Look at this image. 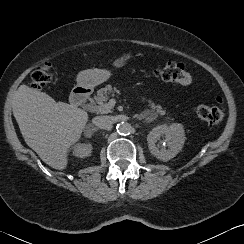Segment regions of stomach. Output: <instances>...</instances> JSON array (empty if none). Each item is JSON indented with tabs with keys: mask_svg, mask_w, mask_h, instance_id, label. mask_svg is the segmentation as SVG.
<instances>
[{
	"mask_svg": "<svg viewBox=\"0 0 244 244\" xmlns=\"http://www.w3.org/2000/svg\"><path fill=\"white\" fill-rule=\"evenodd\" d=\"M132 52H125L113 60V66L121 68L134 58ZM111 76V72L106 69H88L82 71L77 76V86L80 88H92L107 81Z\"/></svg>",
	"mask_w": 244,
	"mask_h": 244,
	"instance_id": "1",
	"label": "stomach"
}]
</instances>
